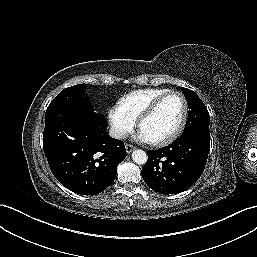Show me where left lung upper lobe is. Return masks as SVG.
Wrapping results in <instances>:
<instances>
[{"mask_svg": "<svg viewBox=\"0 0 257 257\" xmlns=\"http://www.w3.org/2000/svg\"><path fill=\"white\" fill-rule=\"evenodd\" d=\"M180 88L185 95L190 109L182 135L194 131L209 133L210 116L206 106L194 91L184 87Z\"/></svg>", "mask_w": 257, "mask_h": 257, "instance_id": "1", "label": "left lung upper lobe"}]
</instances>
